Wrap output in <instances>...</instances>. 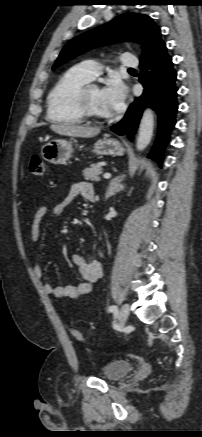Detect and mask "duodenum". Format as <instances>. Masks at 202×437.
Instances as JSON below:
<instances>
[{
	"mask_svg": "<svg viewBox=\"0 0 202 437\" xmlns=\"http://www.w3.org/2000/svg\"><path fill=\"white\" fill-rule=\"evenodd\" d=\"M90 201H91V202H94V201H95V197H91V198H90Z\"/></svg>",
	"mask_w": 202,
	"mask_h": 437,
	"instance_id": "1",
	"label": "duodenum"
}]
</instances>
